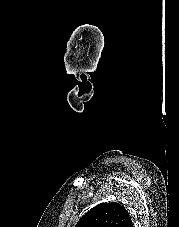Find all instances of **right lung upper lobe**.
Segmentation results:
<instances>
[{"mask_svg":"<svg viewBox=\"0 0 179 227\" xmlns=\"http://www.w3.org/2000/svg\"><path fill=\"white\" fill-rule=\"evenodd\" d=\"M75 227H133L127 210L115 202L93 207L77 222Z\"/></svg>","mask_w":179,"mask_h":227,"instance_id":"cb5924a9","label":"right lung upper lobe"}]
</instances>
